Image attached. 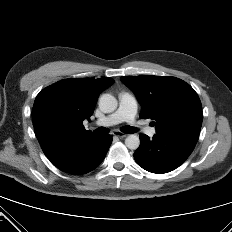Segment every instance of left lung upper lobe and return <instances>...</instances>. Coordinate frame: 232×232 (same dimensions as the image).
<instances>
[{
    "instance_id": "5c2ea615",
    "label": "left lung upper lobe",
    "mask_w": 232,
    "mask_h": 232,
    "mask_svg": "<svg viewBox=\"0 0 232 232\" xmlns=\"http://www.w3.org/2000/svg\"><path fill=\"white\" fill-rule=\"evenodd\" d=\"M122 82L142 105L140 118H151L156 133L199 134L202 106L194 89L181 79L166 76H122Z\"/></svg>"
}]
</instances>
